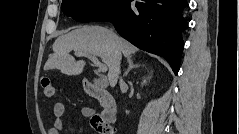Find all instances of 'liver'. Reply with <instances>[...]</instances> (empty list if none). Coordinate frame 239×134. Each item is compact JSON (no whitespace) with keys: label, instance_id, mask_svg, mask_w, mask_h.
<instances>
[{"label":"liver","instance_id":"1","mask_svg":"<svg viewBox=\"0 0 239 134\" xmlns=\"http://www.w3.org/2000/svg\"><path fill=\"white\" fill-rule=\"evenodd\" d=\"M72 50L100 57L109 68L108 81L114 87L118 79V54L131 58L138 49L112 30L102 26H82L55 40L53 54L45 63L44 70L58 69L66 75L81 74L85 62L76 61L69 54Z\"/></svg>","mask_w":239,"mask_h":134}]
</instances>
